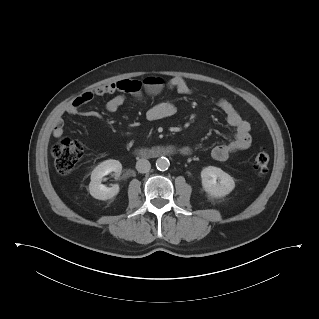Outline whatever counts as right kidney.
<instances>
[{"label":"right kidney","instance_id":"ca27d5eb","mask_svg":"<svg viewBox=\"0 0 319 319\" xmlns=\"http://www.w3.org/2000/svg\"><path fill=\"white\" fill-rule=\"evenodd\" d=\"M122 164L118 160L109 159L100 163L91 173V182L89 184V192L91 196L99 200H107L119 193V185L112 187L103 185L102 178L111 172L120 173Z\"/></svg>","mask_w":319,"mask_h":319}]
</instances>
